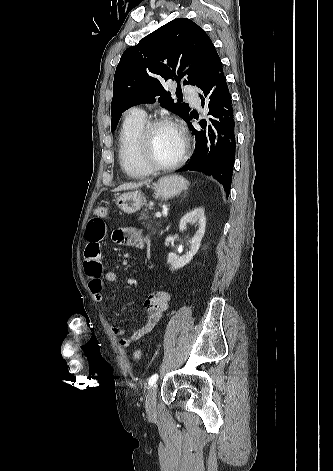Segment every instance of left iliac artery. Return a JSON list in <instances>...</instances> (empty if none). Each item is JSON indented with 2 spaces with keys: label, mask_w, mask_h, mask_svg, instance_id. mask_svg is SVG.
<instances>
[{
  "label": "left iliac artery",
  "mask_w": 333,
  "mask_h": 471,
  "mask_svg": "<svg viewBox=\"0 0 333 471\" xmlns=\"http://www.w3.org/2000/svg\"><path fill=\"white\" fill-rule=\"evenodd\" d=\"M157 379H158V374L152 375L148 380L149 386H152L157 381Z\"/></svg>",
  "instance_id": "44dca946"
}]
</instances>
